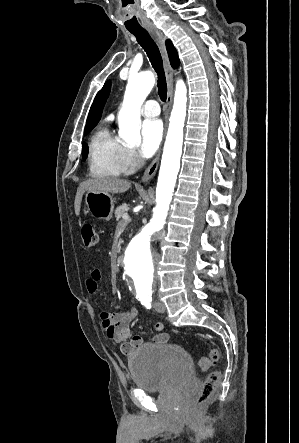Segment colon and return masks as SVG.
<instances>
[{
	"instance_id": "1",
	"label": "colon",
	"mask_w": 299,
	"mask_h": 443,
	"mask_svg": "<svg viewBox=\"0 0 299 443\" xmlns=\"http://www.w3.org/2000/svg\"><path fill=\"white\" fill-rule=\"evenodd\" d=\"M81 238L85 247L92 248L98 242V235L91 223L85 222L81 225ZM220 358L218 349L213 348L208 356H202L198 360V366L201 370H208ZM222 374L220 371H212L208 374L199 393L195 397L196 405H204L216 392L220 385Z\"/></svg>"
}]
</instances>
